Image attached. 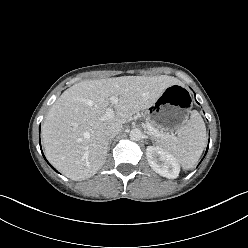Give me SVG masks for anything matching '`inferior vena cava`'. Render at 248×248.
Instances as JSON below:
<instances>
[{"instance_id":"obj_1","label":"inferior vena cava","mask_w":248,"mask_h":248,"mask_svg":"<svg viewBox=\"0 0 248 248\" xmlns=\"http://www.w3.org/2000/svg\"><path fill=\"white\" fill-rule=\"evenodd\" d=\"M122 130V125L120 124H113L107 127L106 131H105V135L107 137V139H112L114 137H116L118 134H120Z\"/></svg>"}]
</instances>
